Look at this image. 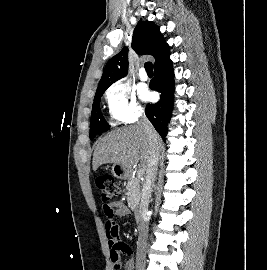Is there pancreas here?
<instances>
[{
  "label": "pancreas",
  "mask_w": 267,
  "mask_h": 270,
  "mask_svg": "<svg viewBox=\"0 0 267 270\" xmlns=\"http://www.w3.org/2000/svg\"><path fill=\"white\" fill-rule=\"evenodd\" d=\"M127 189V201L130 205H135L140 200L141 196V183L140 179L137 177H130L128 180V184L126 186Z\"/></svg>",
  "instance_id": "pancreas-1"
}]
</instances>
